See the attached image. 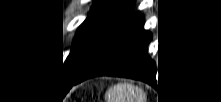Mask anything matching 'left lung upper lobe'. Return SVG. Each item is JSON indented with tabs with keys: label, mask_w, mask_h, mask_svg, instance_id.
<instances>
[{
	"label": "left lung upper lobe",
	"mask_w": 221,
	"mask_h": 102,
	"mask_svg": "<svg viewBox=\"0 0 221 102\" xmlns=\"http://www.w3.org/2000/svg\"><path fill=\"white\" fill-rule=\"evenodd\" d=\"M134 0H96L86 20L79 27L66 59L65 80L77 75L132 15Z\"/></svg>",
	"instance_id": "5c2ea615"
}]
</instances>
